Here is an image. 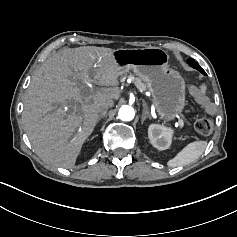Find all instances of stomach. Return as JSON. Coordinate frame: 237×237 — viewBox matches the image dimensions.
<instances>
[{"label":"stomach","instance_id":"0dacf381","mask_svg":"<svg viewBox=\"0 0 237 237\" xmlns=\"http://www.w3.org/2000/svg\"><path fill=\"white\" fill-rule=\"evenodd\" d=\"M112 58L118 75L132 70L146 84L159 115L172 120L185 106V81L180 73L169 68V55L159 47L117 49Z\"/></svg>","mask_w":237,"mask_h":237}]
</instances>
